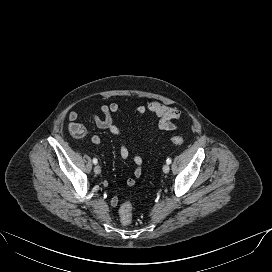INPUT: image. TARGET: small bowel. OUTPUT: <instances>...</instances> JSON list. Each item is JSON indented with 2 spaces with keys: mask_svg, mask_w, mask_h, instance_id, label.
<instances>
[{
  "mask_svg": "<svg viewBox=\"0 0 272 272\" xmlns=\"http://www.w3.org/2000/svg\"><path fill=\"white\" fill-rule=\"evenodd\" d=\"M99 109L103 115L102 117L98 116L89 109H85L83 113L89 120L94 123L97 128L108 130L112 135L121 138L122 131L114 123L112 115L121 112L122 106L118 103L113 102L110 104H102L100 105ZM136 111L140 115H144L150 112L158 118L155 128L146 140L147 143L152 142L161 131L175 130L177 128V125L173 122V120L179 119L181 117V111L178 108L167 106L158 101H152L147 105H139L137 106ZM78 118L79 114L75 111L70 112L68 115V119L71 122L78 120ZM91 142L93 145L99 146L101 145L102 140L98 135H94L91 138ZM119 155L123 160H126L129 157V149L123 142H121L119 146ZM133 161L135 164V169L133 172L134 177H129L126 179V185L129 187L134 186L135 178H139L142 175V157L140 155H135ZM118 202L119 199L117 196H114L110 201L113 207L117 206Z\"/></svg>",
  "mask_w": 272,
  "mask_h": 272,
  "instance_id": "obj_1",
  "label": "small bowel"
}]
</instances>
